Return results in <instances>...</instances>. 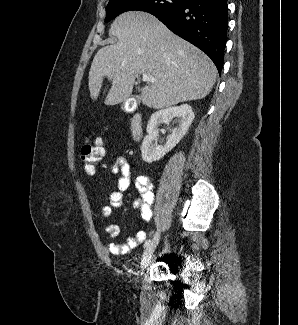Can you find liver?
Returning a JSON list of instances; mask_svg holds the SVG:
<instances>
[{"instance_id": "liver-1", "label": "liver", "mask_w": 298, "mask_h": 325, "mask_svg": "<svg viewBox=\"0 0 298 325\" xmlns=\"http://www.w3.org/2000/svg\"><path fill=\"white\" fill-rule=\"evenodd\" d=\"M115 44L96 52L90 66L88 88L91 98L100 96L103 80L111 86L105 104H119L132 94L137 74H148L157 82L142 88L141 102L150 108H171L185 100L209 94L217 68L202 50L173 34L149 12L129 10L119 14L109 28Z\"/></svg>"}]
</instances>
